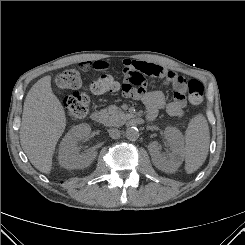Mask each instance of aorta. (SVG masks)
<instances>
[{"instance_id": "1", "label": "aorta", "mask_w": 245, "mask_h": 245, "mask_svg": "<svg viewBox=\"0 0 245 245\" xmlns=\"http://www.w3.org/2000/svg\"><path fill=\"white\" fill-rule=\"evenodd\" d=\"M125 136L130 141H135L139 138V131L136 127H128L125 131Z\"/></svg>"}]
</instances>
